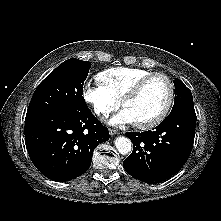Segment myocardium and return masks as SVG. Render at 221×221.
Wrapping results in <instances>:
<instances>
[{
	"mask_svg": "<svg viewBox=\"0 0 221 221\" xmlns=\"http://www.w3.org/2000/svg\"><path fill=\"white\" fill-rule=\"evenodd\" d=\"M156 77L163 78L166 81V83L168 84V87H169L168 99H167L163 109L156 117H154L153 119H151L147 122L135 123V126L139 129L147 130V129L154 128V127L158 126L160 123H162L164 121V119L168 116V114L171 110V107L173 105L174 98H175V86H174L173 81L165 73L152 72V73L142 77L141 79H139L133 85V87L129 90V92L121 100V105H122V107L125 108V105L129 101L135 99L140 94V92L142 91L143 87L147 84V82H149L151 79L156 78Z\"/></svg>",
	"mask_w": 221,
	"mask_h": 221,
	"instance_id": "obj_1",
	"label": "myocardium"
}]
</instances>
